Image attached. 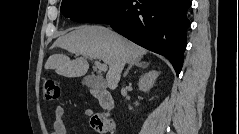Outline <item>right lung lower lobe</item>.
<instances>
[{"label":"right lung lower lobe","mask_w":239,"mask_h":134,"mask_svg":"<svg viewBox=\"0 0 239 134\" xmlns=\"http://www.w3.org/2000/svg\"><path fill=\"white\" fill-rule=\"evenodd\" d=\"M189 0H120L90 23H106L135 42L165 56L179 75L186 48Z\"/></svg>","instance_id":"right-lung-lower-lobe-1"}]
</instances>
